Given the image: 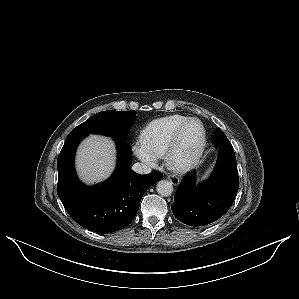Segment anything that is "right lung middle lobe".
Wrapping results in <instances>:
<instances>
[{
  "label": "right lung middle lobe",
  "mask_w": 299,
  "mask_h": 299,
  "mask_svg": "<svg viewBox=\"0 0 299 299\" xmlns=\"http://www.w3.org/2000/svg\"><path fill=\"white\" fill-rule=\"evenodd\" d=\"M135 116V112L102 111L74 128L72 133L85 135L96 133L112 137H124L135 121Z\"/></svg>",
  "instance_id": "right-lung-middle-lobe-1"
}]
</instances>
